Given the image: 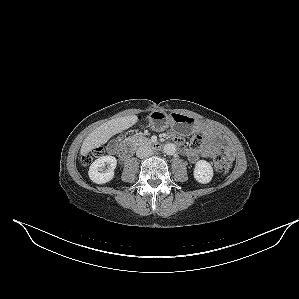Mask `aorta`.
<instances>
[{"instance_id":"obj_1","label":"aorta","mask_w":299,"mask_h":299,"mask_svg":"<svg viewBox=\"0 0 299 299\" xmlns=\"http://www.w3.org/2000/svg\"><path fill=\"white\" fill-rule=\"evenodd\" d=\"M176 152V145L168 143L164 146V153L167 155H173Z\"/></svg>"}]
</instances>
